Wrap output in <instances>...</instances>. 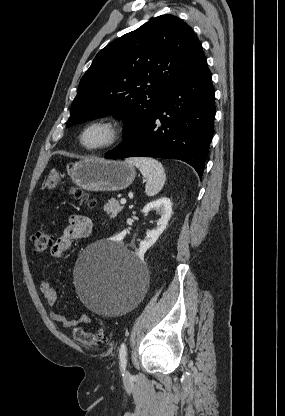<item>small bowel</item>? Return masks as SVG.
<instances>
[{
	"mask_svg": "<svg viewBox=\"0 0 285 416\" xmlns=\"http://www.w3.org/2000/svg\"><path fill=\"white\" fill-rule=\"evenodd\" d=\"M92 227L93 224L89 217L79 214L71 216L61 236L50 247V255L55 258L61 257L73 241L89 237ZM40 290L47 304L50 307H54L58 302V294L47 279H41ZM49 316L52 321L60 323L65 328L76 327L90 322V317L84 313L71 319L55 310H50Z\"/></svg>",
	"mask_w": 285,
	"mask_h": 416,
	"instance_id": "c3829d8e",
	"label": "small bowel"
}]
</instances>
